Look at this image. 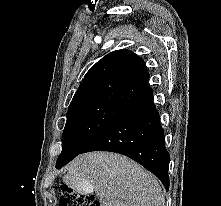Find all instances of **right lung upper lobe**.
<instances>
[{"label": "right lung upper lobe", "mask_w": 221, "mask_h": 206, "mask_svg": "<svg viewBox=\"0 0 221 206\" xmlns=\"http://www.w3.org/2000/svg\"><path fill=\"white\" fill-rule=\"evenodd\" d=\"M148 80L142 58L129 50H116L90 68L69 110L95 104L127 108L152 91Z\"/></svg>", "instance_id": "1"}]
</instances>
